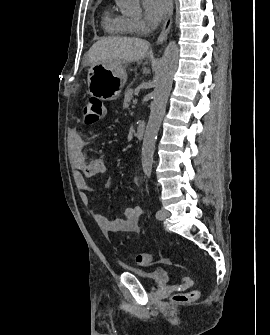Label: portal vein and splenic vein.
<instances>
[{"label": "portal vein and splenic vein", "instance_id": "1", "mask_svg": "<svg viewBox=\"0 0 270 335\" xmlns=\"http://www.w3.org/2000/svg\"><path fill=\"white\" fill-rule=\"evenodd\" d=\"M132 103L135 105L137 103V98H134V100L132 101Z\"/></svg>", "mask_w": 270, "mask_h": 335}]
</instances>
